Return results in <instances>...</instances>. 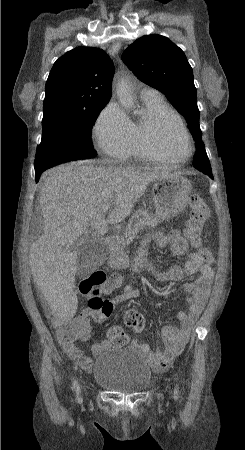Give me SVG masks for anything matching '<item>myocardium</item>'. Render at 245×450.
I'll return each instance as SVG.
<instances>
[{
    "label": "myocardium",
    "instance_id": "obj_1",
    "mask_svg": "<svg viewBox=\"0 0 245 450\" xmlns=\"http://www.w3.org/2000/svg\"><path fill=\"white\" fill-rule=\"evenodd\" d=\"M168 121H173L182 131V133L185 136L186 142L188 144V153L182 156H176L174 154H172L171 152H169L161 143L160 140V129L168 122ZM148 136H149V145L150 147L156 151L157 153L166 156L170 159H174V160H186L188 159L193 151H194V146H193V142L191 139V136L189 134V131L187 130L186 126L184 124H182L181 122H179L177 119L171 117V116H161L160 118H158L149 128L148 131Z\"/></svg>",
    "mask_w": 245,
    "mask_h": 450
}]
</instances>
